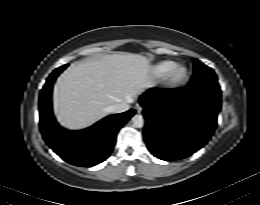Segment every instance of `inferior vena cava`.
Instances as JSON below:
<instances>
[{"mask_svg": "<svg viewBox=\"0 0 260 205\" xmlns=\"http://www.w3.org/2000/svg\"><path fill=\"white\" fill-rule=\"evenodd\" d=\"M130 106L126 102L117 103L106 108L108 113H121L129 110Z\"/></svg>", "mask_w": 260, "mask_h": 205, "instance_id": "1", "label": "inferior vena cava"}]
</instances>
